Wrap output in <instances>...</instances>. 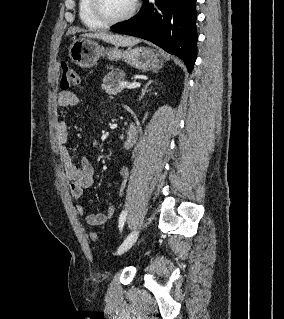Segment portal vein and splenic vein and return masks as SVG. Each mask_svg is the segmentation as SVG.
Returning a JSON list of instances; mask_svg holds the SVG:
<instances>
[{"label": "portal vein and splenic vein", "instance_id": "obj_1", "mask_svg": "<svg viewBox=\"0 0 284 319\" xmlns=\"http://www.w3.org/2000/svg\"><path fill=\"white\" fill-rule=\"evenodd\" d=\"M124 85V84H122ZM126 85V84H125ZM128 89H134V88H138L141 86V83L139 82H133V83H129L126 85Z\"/></svg>", "mask_w": 284, "mask_h": 319}]
</instances>
